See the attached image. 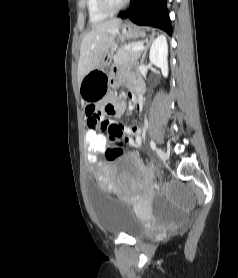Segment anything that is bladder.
Returning a JSON list of instances; mask_svg holds the SVG:
<instances>
[{"mask_svg":"<svg viewBox=\"0 0 238 278\" xmlns=\"http://www.w3.org/2000/svg\"><path fill=\"white\" fill-rule=\"evenodd\" d=\"M89 179L93 180L94 176L90 175ZM87 186H90L89 193L93 194L92 207L96 220L105 233L141 238L148 232L146 222L137 216L131 204H121L120 199L102 192L97 181H87Z\"/></svg>","mask_w":238,"mask_h":278,"instance_id":"bladder-1","label":"bladder"}]
</instances>
